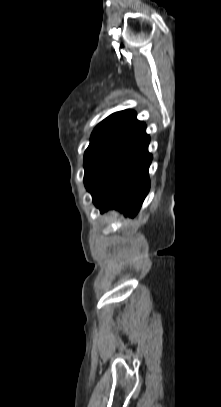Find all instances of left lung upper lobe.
<instances>
[{"label":"left lung upper lobe","mask_w":221,"mask_h":407,"mask_svg":"<svg viewBox=\"0 0 221 407\" xmlns=\"http://www.w3.org/2000/svg\"><path fill=\"white\" fill-rule=\"evenodd\" d=\"M135 116L136 113L132 110L119 111L111 114L96 126L84 154V180L98 159L129 126Z\"/></svg>","instance_id":"obj_1"}]
</instances>
